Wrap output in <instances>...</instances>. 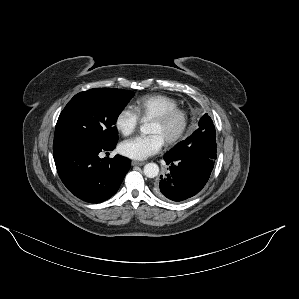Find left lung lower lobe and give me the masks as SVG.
Instances as JSON below:
<instances>
[{
  "instance_id": "1",
  "label": "left lung lower lobe",
  "mask_w": 299,
  "mask_h": 299,
  "mask_svg": "<svg viewBox=\"0 0 299 299\" xmlns=\"http://www.w3.org/2000/svg\"><path fill=\"white\" fill-rule=\"evenodd\" d=\"M210 142L201 139L180 151L164 155L169 171L160 176L155 185L156 194L172 201H183L194 195L207 183L216 159L211 158Z\"/></svg>"
}]
</instances>
